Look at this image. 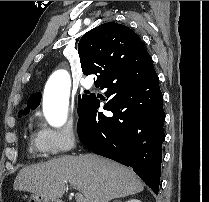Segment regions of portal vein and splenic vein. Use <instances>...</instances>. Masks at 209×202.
<instances>
[{
  "label": "portal vein and splenic vein",
  "mask_w": 209,
  "mask_h": 202,
  "mask_svg": "<svg viewBox=\"0 0 209 202\" xmlns=\"http://www.w3.org/2000/svg\"><path fill=\"white\" fill-rule=\"evenodd\" d=\"M75 199H76V202H86L84 196L81 193H76Z\"/></svg>",
  "instance_id": "obj_1"
}]
</instances>
